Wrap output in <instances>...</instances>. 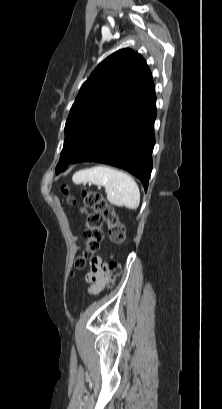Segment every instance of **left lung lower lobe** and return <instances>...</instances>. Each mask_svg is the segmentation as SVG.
I'll return each mask as SVG.
<instances>
[{"instance_id": "left-lung-lower-lobe-1", "label": "left lung lower lobe", "mask_w": 222, "mask_h": 409, "mask_svg": "<svg viewBox=\"0 0 222 409\" xmlns=\"http://www.w3.org/2000/svg\"><path fill=\"white\" fill-rule=\"evenodd\" d=\"M156 98L128 99L73 162H99L122 168L142 181L147 190L155 144Z\"/></svg>"}]
</instances>
